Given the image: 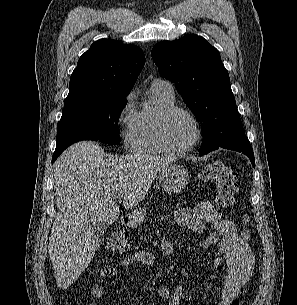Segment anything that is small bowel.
Instances as JSON below:
<instances>
[{
  "label": "small bowel",
  "instance_id": "small-bowel-1",
  "mask_svg": "<svg viewBox=\"0 0 297 305\" xmlns=\"http://www.w3.org/2000/svg\"><path fill=\"white\" fill-rule=\"evenodd\" d=\"M172 223L188 228L194 232H203L206 226H212L214 231L199 242L201 249L215 246L213 266H227L224 283L214 305H232L240 288L249 280L254 267V257L247 242L238 233L237 227L231 220L225 219L222 213L212 204L199 202L191 207L179 208L172 212ZM161 250L164 254L176 252V247L167 239L161 240ZM138 262L151 265L154 257L151 252L139 250L129 258L112 267L105 268L98 282L92 287V296L100 299L105 291L104 278L114 276L119 269ZM159 297L167 299V305H181L184 289L178 285L173 290L165 287L156 289ZM89 305H97L95 302Z\"/></svg>",
  "mask_w": 297,
  "mask_h": 305
}]
</instances>
